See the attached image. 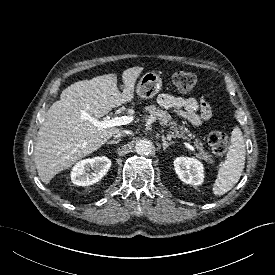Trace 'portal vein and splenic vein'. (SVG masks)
<instances>
[{
	"label": "portal vein and splenic vein",
	"instance_id": "portal-vein-and-splenic-vein-1",
	"mask_svg": "<svg viewBox=\"0 0 275 275\" xmlns=\"http://www.w3.org/2000/svg\"><path fill=\"white\" fill-rule=\"evenodd\" d=\"M81 118L89 120L95 127L99 129H106V128L115 127V126L127 125V124H130L134 119L133 116H115L111 119H105L103 121H99L98 119L90 117L86 113H82ZM183 144L186 148L190 149L191 151H195V148L189 143L183 142Z\"/></svg>",
	"mask_w": 275,
	"mask_h": 275
}]
</instances>
